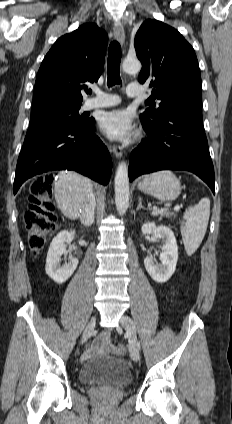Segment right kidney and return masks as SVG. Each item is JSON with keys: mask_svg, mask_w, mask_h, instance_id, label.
Instances as JSON below:
<instances>
[{"mask_svg": "<svg viewBox=\"0 0 232 424\" xmlns=\"http://www.w3.org/2000/svg\"><path fill=\"white\" fill-rule=\"evenodd\" d=\"M75 231H61L52 240L46 258L47 275L58 284L64 283L74 273L78 259L72 258L69 263L61 266V256L66 252V244L71 243Z\"/></svg>", "mask_w": 232, "mask_h": 424, "instance_id": "1", "label": "right kidney"}]
</instances>
